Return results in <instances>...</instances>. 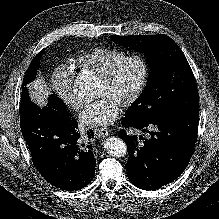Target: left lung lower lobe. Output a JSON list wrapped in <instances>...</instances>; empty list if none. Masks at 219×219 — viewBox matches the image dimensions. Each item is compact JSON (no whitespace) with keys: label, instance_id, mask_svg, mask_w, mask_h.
<instances>
[{"label":"left lung lower lobe","instance_id":"1","mask_svg":"<svg viewBox=\"0 0 219 219\" xmlns=\"http://www.w3.org/2000/svg\"><path fill=\"white\" fill-rule=\"evenodd\" d=\"M198 121V110L164 119L137 121L123 118L122 126L125 128L150 134V138L140 145L136 135L129 136L124 129L119 131V137L128 148L126 170L130 181L144 190L159 189L174 181L185 170L193 155Z\"/></svg>","mask_w":219,"mask_h":219}]
</instances>
